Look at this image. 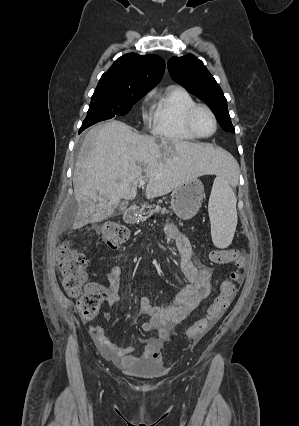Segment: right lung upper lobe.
<instances>
[{
	"mask_svg": "<svg viewBox=\"0 0 299 426\" xmlns=\"http://www.w3.org/2000/svg\"><path fill=\"white\" fill-rule=\"evenodd\" d=\"M165 62L157 55L126 54L104 73L97 88L111 89L123 94L148 92L156 86L164 73Z\"/></svg>",
	"mask_w": 299,
	"mask_h": 426,
	"instance_id": "1",
	"label": "right lung upper lobe"
}]
</instances>
